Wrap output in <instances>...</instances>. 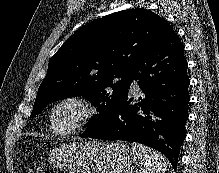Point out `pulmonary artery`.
<instances>
[{"mask_svg":"<svg viewBox=\"0 0 219 173\" xmlns=\"http://www.w3.org/2000/svg\"><path fill=\"white\" fill-rule=\"evenodd\" d=\"M133 89H134L135 91L138 90L137 86H133Z\"/></svg>","mask_w":219,"mask_h":173,"instance_id":"pulmonary-artery-1","label":"pulmonary artery"}]
</instances>
